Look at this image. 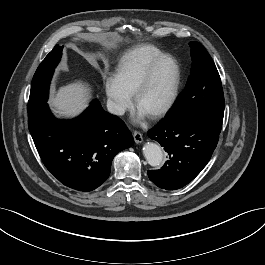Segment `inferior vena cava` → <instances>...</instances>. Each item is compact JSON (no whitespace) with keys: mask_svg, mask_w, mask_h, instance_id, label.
Here are the masks:
<instances>
[{"mask_svg":"<svg viewBox=\"0 0 265 265\" xmlns=\"http://www.w3.org/2000/svg\"><path fill=\"white\" fill-rule=\"evenodd\" d=\"M107 109L111 114L114 115H123L125 112L124 108L121 105L112 100L107 101Z\"/></svg>","mask_w":265,"mask_h":265,"instance_id":"1","label":"inferior vena cava"}]
</instances>
